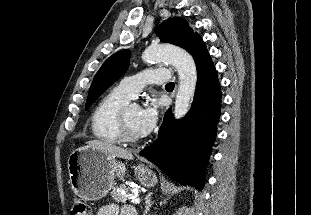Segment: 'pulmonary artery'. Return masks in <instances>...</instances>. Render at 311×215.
<instances>
[{"label": "pulmonary artery", "instance_id": "pulmonary-artery-1", "mask_svg": "<svg viewBox=\"0 0 311 215\" xmlns=\"http://www.w3.org/2000/svg\"><path fill=\"white\" fill-rule=\"evenodd\" d=\"M169 79V70L165 68H150L123 78L116 88L130 99H134L146 85L162 84L168 82Z\"/></svg>", "mask_w": 311, "mask_h": 215}]
</instances>
